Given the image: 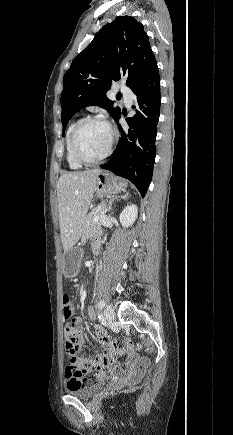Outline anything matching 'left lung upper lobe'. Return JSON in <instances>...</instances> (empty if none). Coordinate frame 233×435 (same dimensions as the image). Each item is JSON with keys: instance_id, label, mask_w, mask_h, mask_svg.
Listing matches in <instances>:
<instances>
[{"instance_id": "obj_1", "label": "left lung upper lobe", "mask_w": 233, "mask_h": 435, "mask_svg": "<svg viewBox=\"0 0 233 435\" xmlns=\"http://www.w3.org/2000/svg\"><path fill=\"white\" fill-rule=\"evenodd\" d=\"M156 64L143 25L131 16H118L105 25L79 53L64 75L61 96L63 133L81 108L98 105L114 120L121 109L106 96L111 82L126 80L132 90Z\"/></svg>"}]
</instances>
